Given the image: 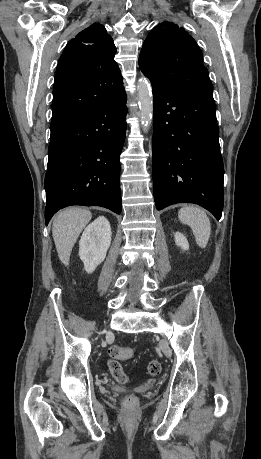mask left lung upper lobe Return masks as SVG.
Returning a JSON list of instances; mask_svg holds the SVG:
<instances>
[{
    "label": "left lung upper lobe",
    "instance_id": "left-lung-upper-lobe-1",
    "mask_svg": "<svg viewBox=\"0 0 261 459\" xmlns=\"http://www.w3.org/2000/svg\"><path fill=\"white\" fill-rule=\"evenodd\" d=\"M138 64L151 82L175 91L213 96L196 41L178 25L163 22L148 34Z\"/></svg>",
    "mask_w": 261,
    "mask_h": 459
}]
</instances>
